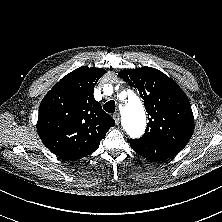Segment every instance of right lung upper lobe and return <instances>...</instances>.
<instances>
[{
	"label": "right lung upper lobe",
	"instance_id": "right-lung-upper-lobe-1",
	"mask_svg": "<svg viewBox=\"0 0 222 222\" xmlns=\"http://www.w3.org/2000/svg\"><path fill=\"white\" fill-rule=\"evenodd\" d=\"M104 73V69L80 67L63 77L43 98L38 134L60 158L76 160L91 154L115 125L93 96Z\"/></svg>",
	"mask_w": 222,
	"mask_h": 222
}]
</instances>
